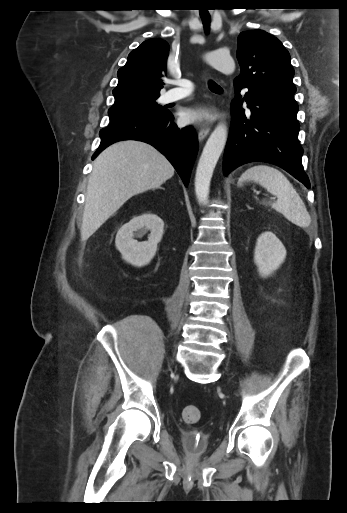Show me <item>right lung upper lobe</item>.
<instances>
[{"mask_svg": "<svg viewBox=\"0 0 347 513\" xmlns=\"http://www.w3.org/2000/svg\"><path fill=\"white\" fill-rule=\"evenodd\" d=\"M168 52V43L158 38L146 40L133 50L117 73L119 81L113 90L114 105L145 97H159Z\"/></svg>", "mask_w": 347, "mask_h": 513, "instance_id": "obj_1", "label": "right lung upper lobe"}]
</instances>
